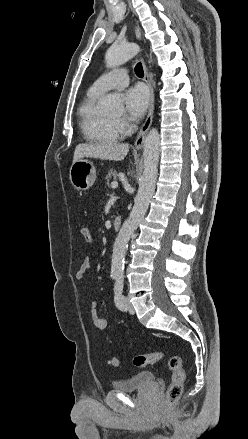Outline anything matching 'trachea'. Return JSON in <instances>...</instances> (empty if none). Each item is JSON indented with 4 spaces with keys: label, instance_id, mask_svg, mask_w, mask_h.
Instances as JSON below:
<instances>
[{
    "label": "trachea",
    "instance_id": "1",
    "mask_svg": "<svg viewBox=\"0 0 248 439\" xmlns=\"http://www.w3.org/2000/svg\"><path fill=\"white\" fill-rule=\"evenodd\" d=\"M135 73L138 77H143L144 76V71H143V67L141 63H138L135 66Z\"/></svg>",
    "mask_w": 248,
    "mask_h": 439
}]
</instances>
